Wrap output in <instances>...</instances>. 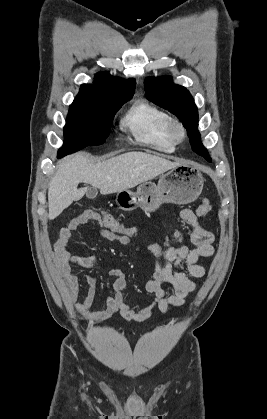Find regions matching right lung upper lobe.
<instances>
[{
  "instance_id": "right-lung-upper-lobe-1",
  "label": "right lung upper lobe",
  "mask_w": 267,
  "mask_h": 419,
  "mask_svg": "<svg viewBox=\"0 0 267 419\" xmlns=\"http://www.w3.org/2000/svg\"><path fill=\"white\" fill-rule=\"evenodd\" d=\"M136 81L123 80L108 73L97 74L94 84H83L74 102H90L133 95Z\"/></svg>"
}]
</instances>
